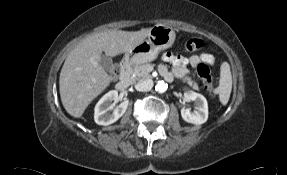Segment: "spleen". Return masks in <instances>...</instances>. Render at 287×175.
I'll return each mask as SVG.
<instances>
[{"label":"spleen","instance_id":"spleen-1","mask_svg":"<svg viewBox=\"0 0 287 175\" xmlns=\"http://www.w3.org/2000/svg\"><path fill=\"white\" fill-rule=\"evenodd\" d=\"M220 80L219 86L217 87V93L219 100L223 105H226L229 101L231 90H232V75L230 66L227 62H223L220 68Z\"/></svg>","mask_w":287,"mask_h":175}]
</instances>
